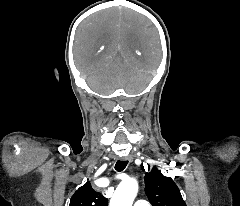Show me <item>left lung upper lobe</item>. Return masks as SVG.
Returning <instances> with one entry per match:
<instances>
[{
	"label": "left lung upper lobe",
	"mask_w": 240,
	"mask_h": 206,
	"mask_svg": "<svg viewBox=\"0 0 240 206\" xmlns=\"http://www.w3.org/2000/svg\"><path fill=\"white\" fill-rule=\"evenodd\" d=\"M145 191L153 206H186L176 184L159 170L146 173Z\"/></svg>",
	"instance_id": "5c2ea615"
}]
</instances>
